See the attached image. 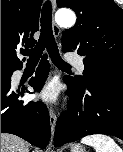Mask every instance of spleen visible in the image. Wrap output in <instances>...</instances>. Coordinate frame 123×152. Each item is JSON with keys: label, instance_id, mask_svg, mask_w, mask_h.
Segmentation results:
<instances>
[{"label": "spleen", "instance_id": "3e777b00", "mask_svg": "<svg viewBox=\"0 0 123 152\" xmlns=\"http://www.w3.org/2000/svg\"><path fill=\"white\" fill-rule=\"evenodd\" d=\"M81 143L94 147L96 152H122L119 145L104 134L88 135L81 139Z\"/></svg>", "mask_w": 123, "mask_h": 152}]
</instances>
